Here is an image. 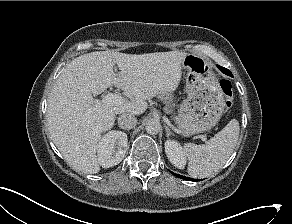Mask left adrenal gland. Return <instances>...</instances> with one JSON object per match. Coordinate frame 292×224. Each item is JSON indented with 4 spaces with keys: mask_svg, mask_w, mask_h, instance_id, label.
Segmentation results:
<instances>
[{
    "mask_svg": "<svg viewBox=\"0 0 292 224\" xmlns=\"http://www.w3.org/2000/svg\"><path fill=\"white\" fill-rule=\"evenodd\" d=\"M165 130H166V136L169 137L172 134L171 130L166 125H165Z\"/></svg>",
    "mask_w": 292,
    "mask_h": 224,
    "instance_id": "obj_1",
    "label": "left adrenal gland"
}]
</instances>
